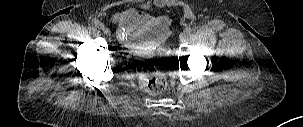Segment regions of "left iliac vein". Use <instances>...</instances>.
I'll return each instance as SVG.
<instances>
[{"instance_id": "left-iliac-vein-1", "label": "left iliac vein", "mask_w": 303, "mask_h": 127, "mask_svg": "<svg viewBox=\"0 0 303 127\" xmlns=\"http://www.w3.org/2000/svg\"><path fill=\"white\" fill-rule=\"evenodd\" d=\"M179 40H180V42H185L186 41V37L184 36V34L182 33V34H180V36H179Z\"/></svg>"}]
</instances>
